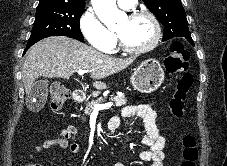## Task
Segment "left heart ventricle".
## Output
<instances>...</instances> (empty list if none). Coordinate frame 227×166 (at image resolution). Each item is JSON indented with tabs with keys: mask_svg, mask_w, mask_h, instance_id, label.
Instances as JSON below:
<instances>
[{
	"mask_svg": "<svg viewBox=\"0 0 227 166\" xmlns=\"http://www.w3.org/2000/svg\"><path fill=\"white\" fill-rule=\"evenodd\" d=\"M115 31L127 46L133 48L147 45L154 35L153 25L146 17L131 20L124 16L116 25Z\"/></svg>",
	"mask_w": 227,
	"mask_h": 166,
	"instance_id": "1",
	"label": "left heart ventricle"
}]
</instances>
